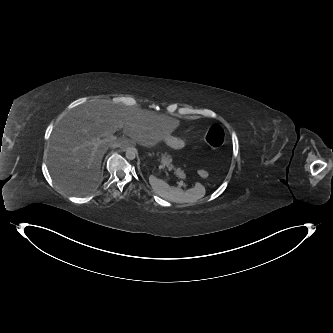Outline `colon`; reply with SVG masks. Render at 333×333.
<instances>
[{
  "mask_svg": "<svg viewBox=\"0 0 333 333\" xmlns=\"http://www.w3.org/2000/svg\"><path fill=\"white\" fill-rule=\"evenodd\" d=\"M204 140L212 148H219L224 142V131L219 125H211L204 129L203 131ZM200 177H206L207 172L203 169L198 171Z\"/></svg>",
  "mask_w": 333,
  "mask_h": 333,
  "instance_id": "1",
  "label": "colon"
}]
</instances>
